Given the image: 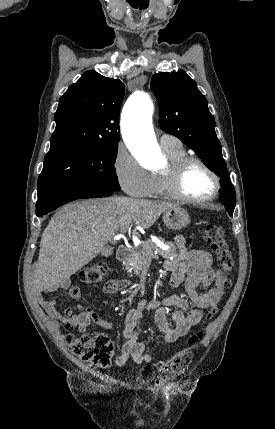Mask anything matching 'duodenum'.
I'll return each instance as SVG.
<instances>
[{"label":"duodenum","instance_id":"410a0bca","mask_svg":"<svg viewBox=\"0 0 275 429\" xmlns=\"http://www.w3.org/2000/svg\"><path fill=\"white\" fill-rule=\"evenodd\" d=\"M130 254H131L130 248L125 245H121L118 247L116 255L119 261L124 262L130 257Z\"/></svg>","mask_w":275,"mask_h":429}]
</instances>
